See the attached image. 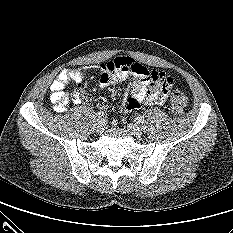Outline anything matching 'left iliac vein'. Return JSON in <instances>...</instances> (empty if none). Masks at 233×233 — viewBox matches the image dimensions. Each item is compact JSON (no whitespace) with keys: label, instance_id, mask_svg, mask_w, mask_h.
<instances>
[{"label":"left iliac vein","instance_id":"obj_1","mask_svg":"<svg viewBox=\"0 0 233 233\" xmlns=\"http://www.w3.org/2000/svg\"><path fill=\"white\" fill-rule=\"evenodd\" d=\"M128 130L135 136L140 137L142 135V128L137 123H131L128 125Z\"/></svg>","mask_w":233,"mask_h":233}]
</instances>
